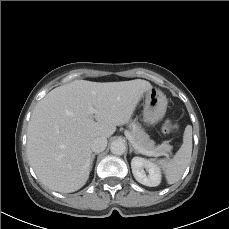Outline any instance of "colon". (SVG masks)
<instances>
[{
	"mask_svg": "<svg viewBox=\"0 0 229 229\" xmlns=\"http://www.w3.org/2000/svg\"><path fill=\"white\" fill-rule=\"evenodd\" d=\"M177 126L171 121V120H166L162 126H161V131L164 134H172L173 132L176 131Z\"/></svg>",
	"mask_w": 229,
	"mask_h": 229,
	"instance_id": "5ec220e1",
	"label": "colon"
}]
</instances>
